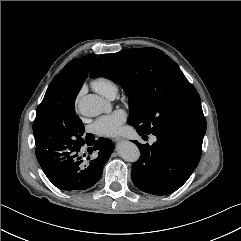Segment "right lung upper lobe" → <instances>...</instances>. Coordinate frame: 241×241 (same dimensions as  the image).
<instances>
[{
    "label": "right lung upper lobe",
    "mask_w": 241,
    "mask_h": 241,
    "mask_svg": "<svg viewBox=\"0 0 241 241\" xmlns=\"http://www.w3.org/2000/svg\"><path fill=\"white\" fill-rule=\"evenodd\" d=\"M95 59L93 54L73 59L58 75L54 77L44 96L45 100L54 102L59 107L75 104L83 82Z\"/></svg>",
    "instance_id": "1"
}]
</instances>
